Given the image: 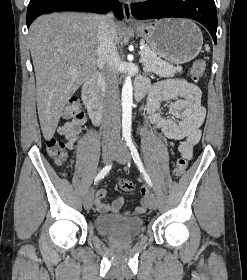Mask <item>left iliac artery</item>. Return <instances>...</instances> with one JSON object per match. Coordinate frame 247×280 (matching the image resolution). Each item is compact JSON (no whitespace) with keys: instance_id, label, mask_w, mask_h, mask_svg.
<instances>
[{"instance_id":"left-iliac-artery-1","label":"left iliac artery","mask_w":247,"mask_h":280,"mask_svg":"<svg viewBox=\"0 0 247 280\" xmlns=\"http://www.w3.org/2000/svg\"><path fill=\"white\" fill-rule=\"evenodd\" d=\"M126 143H127V146L129 147V149L131 151V154H132V157H133V160H134L135 164L137 165L140 172L144 175L145 181L147 182V184L150 187H152V181H151L149 175L147 174V172H146V170L143 166V163L140 159L138 150H137L136 146L134 145L130 136L126 137Z\"/></svg>"}]
</instances>
